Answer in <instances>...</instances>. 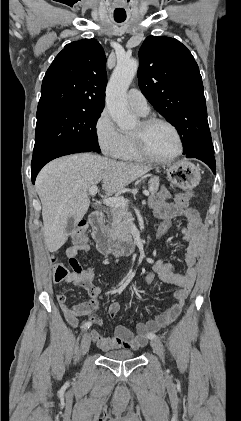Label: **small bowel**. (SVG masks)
I'll return each mask as SVG.
<instances>
[{"label":"small bowel","mask_w":241,"mask_h":421,"mask_svg":"<svg viewBox=\"0 0 241 421\" xmlns=\"http://www.w3.org/2000/svg\"><path fill=\"white\" fill-rule=\"evenodd\" d=\"M171 195L166 189H162L152 196L150 200V208L152 213L160 219H173L181 217L185 220V225L180 229V237L186 246L185 262L187 269L183 273L176 272L174 266L170 262L163 260H152L153 270L163 282L177 286L175 292L176 302L169 307L163 314L148 322L137 324L136 334L129 328L118 325L114 329V333L110 337L102 336L97 330H92L90 335L92 340L103 351H110L119 348L139 349L146 345L149 336L177 319L180 315L189 293L194 285L197 276V264L201 256L205 231L201 222L200 215L196 209L185 208L176 203L170 202ZM90 250L89 244L75 245L67 249L66 255L75 258L78 252L86 253ZM95 277V268L92 264L86 263L80 272H73L67 282L77 284L84 288L90 299L88 301L69 306L66 303L67 297L64 292L57 295V301L64 313L67 322L72 327L79 326V318L89 316L91 320L101 325V320L97 317L95 311L99 306V296L102 288L93 283ZM120 305L118 302H112L108 307L110 318L114 319L119 313ZM91 322V321H89Z\"/></svg>","instance_id":"c3829d8e"}]
</instances>
